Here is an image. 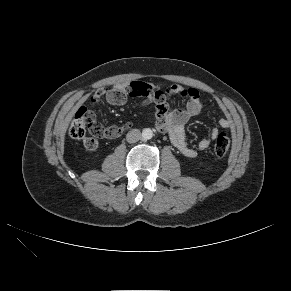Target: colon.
<instances>
[{
	"instance_id": "obj_1",
	"label": "colon",
	"mask_w": 291,
	"mask_h": 291,
	"mask_svg": "<svg viewBox=\"0 0 291 291\" xmlns=\"http://www.w3.org/2000/svg\"><path fill=\"white\" fill-rule=\"evenodd\" d=\"M128 125L121 127H104L95 119L94 113L85 106L78 109L69 127V134L74 139L113 138L121 134ZM87 134L91 135L88 137ZM230 147V138L226 133H219L213 145V155L215 158L223 157Z\"/></svg>"
}]
</instances>
